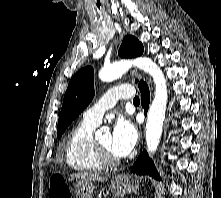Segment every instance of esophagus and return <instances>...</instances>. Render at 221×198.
<instances>
[{
    "label": "esophagus",
    "instance_id": "esophagus-1",
    "mask_svg": "<svg viewBox=\"0 0 221 198\" xmlns=\"http://www.w3.org/2000/svg\"><path fill=\"white\" fill-rule=\"evenodd\" d=\"M130 75H131V77H139V74L136 70H131Z\"/></svg>",
    "mask_w": 221,
    "mask_h": 198
}]
</instances>
